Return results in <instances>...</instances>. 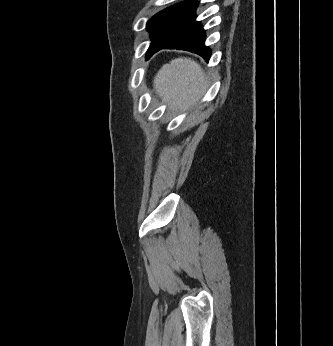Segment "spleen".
<instances>
[{
	"instance_id": "3e777b00",
	"label": "spleen",
	"mask_w": 333,
	"mask_h": 346,
	"mask_svg": "<svg viewBox=\"0 0 333 346\" xmlns=\"http://www.w3.org/2000/svg\"><path fill=\"white\" fill-rule=\"evenodd\" d=\"M207 77L200 65L189 58H178L165 64L156 74L155 92L170 107L187 109L196 103L207 89Z\"/></svg>"
}]
</instances>
